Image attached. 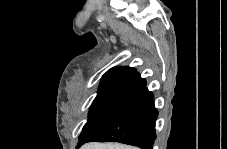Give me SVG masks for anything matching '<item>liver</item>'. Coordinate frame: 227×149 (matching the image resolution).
<instances>
[{"label": "liver", "mask_w": 227, "mask_h": 149, "mask_svg": "<svg viewBox=\"0 0 227 149\" xmlns=\"http://www.w3.org/2000/svg\"><path fill=\"white\" fill-rule=\"evenodd\" d=\"M82 149H135L131 146L121 145L118 143H89Z\"/></svg>", "instance_id": "liver-1"}]
</instances>
